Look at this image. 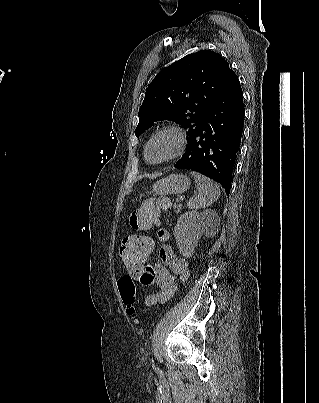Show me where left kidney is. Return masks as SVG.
Segmentation results:
<instances>
[{"label": "left kidney", "mask_w": 319, "mask_h": 403, "mask_svg": "<svg viewBox=\"0 0 319 403\" xmlns=\"http://www.w3.org/2000/svg\"><path fill=\"white\" fill-rule=\"evenodd\" d=\"M217 217L216 212L212 209L201 213L192 210L179 217L174 228V236L179 252L183 256H192L201 235Z\"/></svg>", "instance_id": "obj_1"}]
</instances>
